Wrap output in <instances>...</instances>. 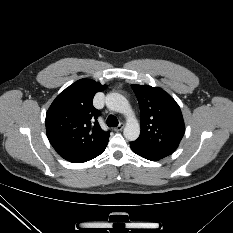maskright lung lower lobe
I'll return each mask as SVG.
<instances>
[{
	"instance_id": "right-lung-lower-lobe-1",
	"label": "right lung lower lobe",
	"mask_w": 233,
	"mask_h": 233,
	"mask_svg": "<svg viewBox=\"0 0 233 233\" xmlns=\"http://www.w3.org/2000/svg\"><path fill=\"white\" fill-rule=\"evenodd\" d=\"M105 148H106V146L99 153H97L94 157H92L91 159H93V158L97 157L98 155H100L105 150ZM91 159H89V160H91Z\"/></svg>"
}]
</instances>
